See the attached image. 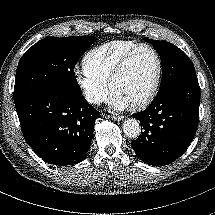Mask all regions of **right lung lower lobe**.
Returning a JSON list of instances; mask_svg holds the SVG:
<instances>
[{
    "mask_svg": "<svg viewBox=\"0 0 215 215\" xmlns=\"http://www.w3.org/2000/svg\"><path fill=\"white\" fill-rule=\"evenodd\" d=\"M28 145L58 166L81 162L100 113L82 95L43 91L15 103Z\"/></svg>",
    "mask_w": 215,
    "mask_h": 215,
    "instance_id": "98d812e1",
    "label": "right lung lower lobe"
}]
</instances>
